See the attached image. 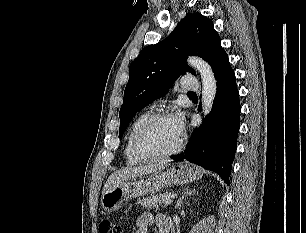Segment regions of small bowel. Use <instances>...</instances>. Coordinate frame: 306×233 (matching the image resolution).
<instances>
[{"label":"small bowel","instance_id":"c3829d8e","mask_svg":"<svg viewBox=\"0 0 306 233\" xmlns=\"http://www.w3.org/2000/svg\"><path fill=\"white\" fill-rule=\"evenodd\" d=\"M153 223L157 225L160 231L163 226L168 225L165 215L160 214L154 217L149 212H143L135 222V233H147L149 226Z\"/></svg>","mask_w":306,"mask_h":233}]
</instances>
